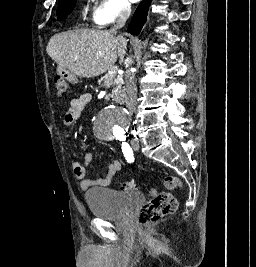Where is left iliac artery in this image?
<instances>
[{
    "mask_svg": "<svg viewBox=\"0 0 256 267\" xmlns=\"http://www.w3.org/2000/svg\"><path fill=\"white\" fill-rule=\"evenodd\" d=\"M122 152L127 160V162L131 163L134 161L132 148L128 145V143H122Z\"/></svg>",
    "mask_w": 256,
    "mask_h": 267,
    "instance_id": "44dca946",
    "label": "left iliac artery"
}]
</instances>
